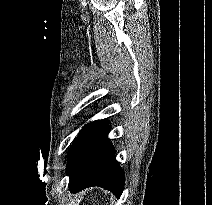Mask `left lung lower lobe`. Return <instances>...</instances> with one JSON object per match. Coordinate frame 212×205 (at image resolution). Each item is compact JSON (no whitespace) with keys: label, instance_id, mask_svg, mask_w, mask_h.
<instances>
[{"label":"left lung lower lobe","instance_id":"obj_1","mask_svg":"<svg viewBox=\"0 0 212 205\" xmlns=\"http://www.w3.org/2000/svg\"><path fill=\"white\" fill-rule=\"evenodd\" d=\"M108 122L86 124L72 143L67 159L69 189L76 193L90 186H100L120 197L124 174L115 159V149L107 138Z\"/></svg>","mask_w":212,"mask_h":205}]
</instances>
